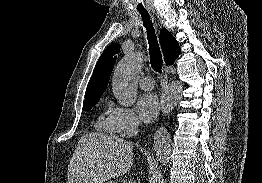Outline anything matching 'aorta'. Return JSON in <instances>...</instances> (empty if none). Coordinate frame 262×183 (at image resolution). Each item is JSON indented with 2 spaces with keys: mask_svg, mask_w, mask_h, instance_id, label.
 I'll return each instance as SVG.
<instances>
[{
  "mask_svg": "<svg viewBox=\"0 0 262 183\" xmlns=\"http://www.w3.org/2000/svg\"><path fill=\"white\" fill-rule=\"evenodd\" d=\"M142 67L139 52L132 53L120 61L114 71L112 86L118 102L131 107L136 101L137 75ZM183 85L180 81L170 83L161 95V109L164 114L171 112L182 97ZM154 150L158 161L163 165L169 161L171 151L170 134L164 126L158 128L154 135Z\"/></svg>",
  "mask_w": 262,
  "mask_h": 183,
  "instance_id": "762f6f07",
  "label": "aorta"
}]
</instances>
